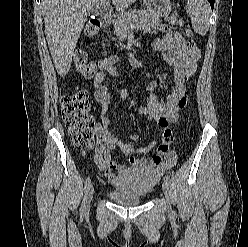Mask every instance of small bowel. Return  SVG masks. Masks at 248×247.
I'll return each mask as SVG.
<instances>
[{
  "instance_id": "1",
  "label": "small bowel",
  "mask_w": 248,
  "mask_h": 247,
  "mask_svg": "<svg viewBox=\"0 0 248 247\" xmlns=\"http://www.w3.org/2000/svg\"><path fill=\"white\" fill-rule=\"evenodd\" d=\"M165 34L156 38L152 46L161 53L162 59L173 67V87L162 101L155 93L157 82L150 81L147 91L150 94L149 104L138 109L141 115H147L149 121L156 122L162 128V140L158 143L153 140L148 145H136L138 136H131L129 141H122L115 137L109 130L111 122L105 116L110 103V95L104 84L105 73L116 74L115 64L117 55H111L98 62L99 71L94 77V97L103 105L101 112L102 121L95 128L96 147L94 162L97 169L108 183L116 181L115 172L122 173L126 170L123 164H117L112 156V151L118 148L123 154L130 156L129 161L133 166L152 169L160 166L169 168L176 162V154L169 150L174 142V135L170 124L178 119V112L188 103L187 85L196 72L200 51L195 42L184 39L178 32L163 27ZM156 147V152L151 157L137 158L135 154H144Z\"/></svg>"
}]
</instances>
